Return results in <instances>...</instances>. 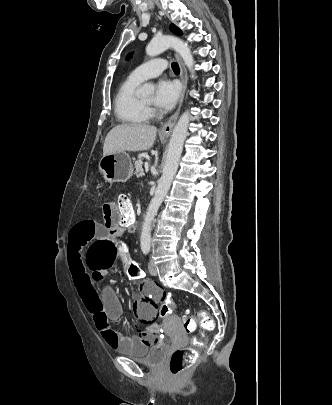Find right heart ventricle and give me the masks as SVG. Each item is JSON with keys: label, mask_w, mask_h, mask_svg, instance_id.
<instances>
[{"label": "right heart ventricle", "mask_w": 332, "mask_h": 405, "mask_svg": "<svg viewBox=\"0 0 332 405\" xmlns=\"http://www.w3.org/2000/svg\"><path fill=\"white\" fill-rule=\"evenodd\" d=\"M140 81L125 80L119 87L115 100L114 110L119 122L129 125L145 123L149 120V111L136 94Z\"/></svg>", "instance_id": "obj_1"}]
</instances>
